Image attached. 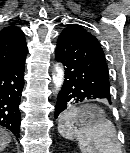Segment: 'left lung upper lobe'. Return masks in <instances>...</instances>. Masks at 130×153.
Returning a JSON list of instances; mask_svg holds the SVG:
<instances>
[{
	"label": "left lung upper lobe",
	"instance_id": "left-lung-upper-lobe-1",
	"mask_svg": "<svg viewBox=\"0 0 130 153\" xmlns=\"http://www.w3.org/2000/svg\"><path fill=\"white\" fill-rule=\"evenodd\" d=\"M63 31H78L80 33H83V34L87 35L88 37H90L96 43L99 44L98 40L94 36H92L90 33H88L85 29H83L81 26H79L77 24H72V25L68 26L67 28H65Z\"/></svg>",
	"mask_w": 130,
	"mask_h": 153
}]
</instances>
